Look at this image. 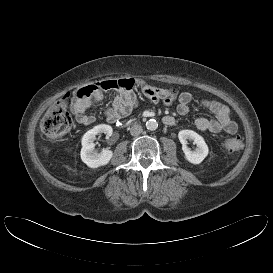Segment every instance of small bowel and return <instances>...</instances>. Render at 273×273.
<instances>
[{
    "instance_id": "small-bowel-1",
    "label": "small bowel",
    "mask_w": 273,
    "mask_h": 273,
    "mask_svg": "<svg viewBox=\"0 0 273 273\" xmlns=\"http://www.w3.org/2000/svg\"><path fill=\"white\" fill-rule=\"evenodd\" d=\"M135 88L139 89L152 102H164L171 104L173 101L169 90L157 88L144 80H137ZM103 93L97 92L94 96L84 100L75 99L72 103V111L75 115L76 121L81 125H91L94 122L93 116L86 112L96 103L103 99ZM193 99L190 92H182L178 97V104L176 111L179 115L184 116L189 112V105ZM137 104V96L133 89L119 90L113 99L111 107L106 109L105 114L110 122H116L124 117H127ZM203 107L208 109L213 115L214 119L199 117L195 120V126L202 131H209L212 133H219L224 131L228 134H235L238 126L232 120L229 109L222 103L215 100L202 101ZM165 124L172 126L175 124L173 116H165Z\"/></svg>"
}]
</instances>
